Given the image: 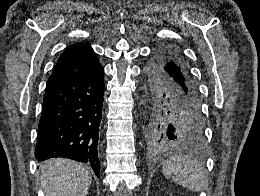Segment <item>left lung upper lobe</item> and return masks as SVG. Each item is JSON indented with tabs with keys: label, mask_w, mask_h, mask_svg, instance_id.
Listing matches in <instances>:
<instances>
[{
	"label": "left lung upper lobe",
	"mask_w": 260,
	"mask_h": 196,
	"mask_svg": "<svg viewBox=\"0 0 260 196\" xmlns=\"http://www.w3.org/2000/svg\"><path fill=\"white\" fill-rule=\"evenodd\" d=\"M142 138L151 151L199 145L205 138L200 96L188 63L175 46H162L146 66Z\"/></svg>",
	"instance_id": "left-lung-upper-lobe-1"
}]
</instances>
